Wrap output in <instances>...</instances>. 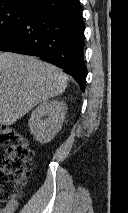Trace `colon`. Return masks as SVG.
<instances>
[{"instance_id": "colon-1", "label": "colon", "mask_w": 128, "mask_h": 213, "mask_svg": "<svg viewBox=\"0 0 128 213\" xmlns=\"http://www.w3.org/2000/svg\"><path fill=\"white\" fill-rule=\"evenodd\" d=\"M0 144L5 155L0 159V203L21 195V189L30 175L33 151L17 130L0 125Z\"/></svg>"}]
</instances>
